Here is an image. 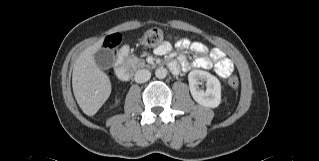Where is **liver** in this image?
<instances>
[{
  "label": "liver",
  "mask_w": 319,
  "mask_h": 161,
  "mask_svg": "<svg viewBox=\"0 0 319 161\" xmlns=\"http://www.w3.org/2000/svg\"><path fill=\"white\" fill-rule=\"evenodd\" d=\"M103 39L87 47L75 61L72 87L75 99L88 115L93 116L106 102L111 93L109 77L98 68L94 54L101 48Z\"/></svg>",
  "instance_id": "1"
}]
</instances>
